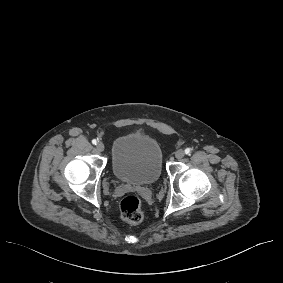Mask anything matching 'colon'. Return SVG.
Segmentation results:
<instances>
[{
    "mask_svg": "<svg viewBox=\"0 0 283 283\" xmlns=\"http://www.w3.org/2000/svg\"><path fill=\"white\" fill-rule=\"evenodd\" d=\"M121 219L128 225H138L144 219L145 210L141 200L135 195L124 197L119 205Z\"/></svg>",
    "mask_w": 283,
    "mask_h": 283,
    "instance_id": "obj_1",
    "label": "colon"
}]
</instances>
